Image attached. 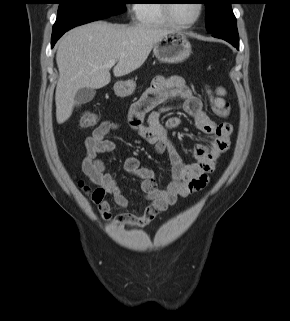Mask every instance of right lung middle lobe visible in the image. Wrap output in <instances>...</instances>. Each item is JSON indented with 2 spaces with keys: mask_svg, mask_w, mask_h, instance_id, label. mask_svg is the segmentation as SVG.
Instances as JSON below:
<instances>
[{
  "mask_svg": "<svg viewBox=\"0 0 290 321\" xmlns=\"http://www.w3.org/2000/svg\"><path fill=\"white\" fill-rule=\"evenodd\" d=\"M125 0H58L59 9L53 31L71 29L91 21L121 14Z\"/></svg>",
  "mask_w": 290,
  "mask_h": 321,
  "instance_id": "1",
  "label": "right lung middle lobe"
}]
</instances>
